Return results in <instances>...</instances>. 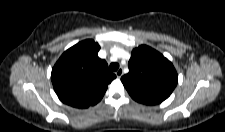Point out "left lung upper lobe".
<instances>
[{"instance_id": "1", "label": "left lung upper lobe", "mask_w": 225, "mask_h": 132, "mask_svg": "<svg viewBox=\"0 0 225 132\" xmlns=\"http://www.w3.org/2000/svg\"><path fill=\"white\" fill-rule=\"evenodd\" d=\"M128 67L129 73L121 81L137 102L159 104L170 96L177 85L178 75L172 63L149 46L135 48Z\"/></svg>"}]
</instances>
